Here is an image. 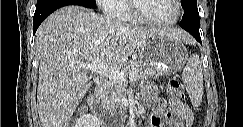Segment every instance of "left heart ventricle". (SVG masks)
<instances>
[{
    "label": "left heart ventricle",
    "mask_w": 243,
    "mask_h": 127,
    "mask_svg": "<svg viewBox=\"0 0 243 127\" xmlns=\"http://www.w3.org/2000/svg\"><path fill=\"white\" fill-rule=\"evenodd\" d=\"M140 9L145 16L158 21H167L176 15L173 0H141Z\"/></svg>",
    "instance_id": "left-heart-ventricle-1"
}]
</instances>
